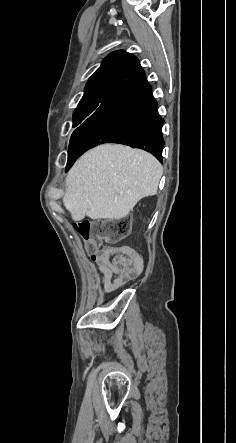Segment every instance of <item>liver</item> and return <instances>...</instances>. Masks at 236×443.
Listing matches in <instances>:
<instances>
[{
  "label": "liver",
  "mask_w": 236,
  "mask_h": 443,
  "mask_svg": "<svg viewBox=\"0 0 236 443\" xmlns=\"http://www.w3.org/2000/svg\"><path fill=\"white\" fill-rule=\"evenodd\" d=\"M163 174L150 153L104 144L80 157L69 171L63 196L74 221L126 217L139 200L157 194Z\"/></svg>",
  "instance_id": "obj_1"
}]
</instances>
